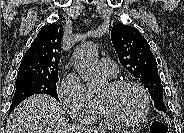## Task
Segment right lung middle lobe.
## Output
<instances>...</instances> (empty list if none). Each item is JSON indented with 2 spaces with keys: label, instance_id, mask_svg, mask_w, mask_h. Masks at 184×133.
Here are the masks:
<instances>
[{
  "label": "right lung middle lobe",
  "instance_id": "right-lung-middle-lobe-1",
  "mask_svg": "<svg viewBox=\"0 0 184 133\" xmlns=\"http://www.w3.org/2000/svg\"><path fill=\"white\" fill-rule=\"evenodd\" d=\"M57 81L58 76L52 78L29 77L17 79L10 111L18 106L25 98L34 94H48L59 100L56 91Z\"/></svg>",
  "mask_w": 184,
  "mask_h": 133
}]
</instances>
